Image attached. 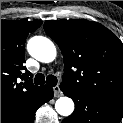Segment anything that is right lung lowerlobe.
<instances>
[{
  "label": "right lung lower lobe",
  "mask_w": 123,
  "mask_h": 123,
  "mask_svg": "<svg viewBox=\"0 0 123 123\" xmlns=\"http://www.w3.org/2000/svg\"><path fill=\"white\" fill-rule=\"evenodd\" d=\"M52 98V87L43 85L36 97L31 101L1 115V123H34L37 109Z\"/></svg>",
  "instance_id": "1"
}]
</instances>
